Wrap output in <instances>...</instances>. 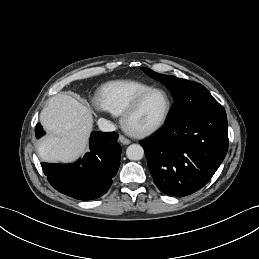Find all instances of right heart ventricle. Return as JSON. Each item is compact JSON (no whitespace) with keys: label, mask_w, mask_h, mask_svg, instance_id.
<instances>
[{"label":"right heart ventricle","mask_w":259,"mask_h":259,"mask_svg":"<svg viewBox=\"0 0 259 259\" xmlns=\"http://www.w3.org/2000/svg\"><path fill=\"white\" fill-rule=\"evenodd\" d=\"M151 88L150 85L139 81H114L101 89L99 101L105 110L113 115L121 116L135 98Z\"/></svg>","instance_id":"right-heart-ventricle-1"}]
</instances>
